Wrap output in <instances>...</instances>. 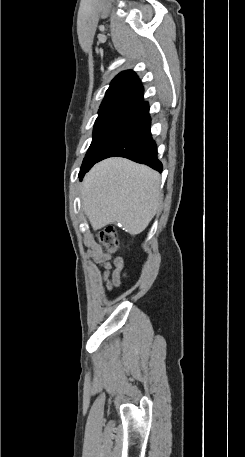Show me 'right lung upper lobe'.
Wrapping results in <instances>:
<instances>
[{"label":"right lung upper lobe","instance_id":"right-lung-upper-lobe-1","mask_svg":"<svg viewBox=\"0 0 245 457\" xmlns=\"http://www.w3.org/2000/svg\"><path fill=\"white\" fill-rule=\"evenodd\" d=\"M143 102V87L131 70L123 71L111 82L100 106L101 112H130Z\"/></svg>","mask_w":245,"mask_h":457}]
</instances>
